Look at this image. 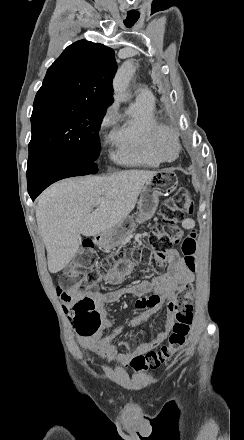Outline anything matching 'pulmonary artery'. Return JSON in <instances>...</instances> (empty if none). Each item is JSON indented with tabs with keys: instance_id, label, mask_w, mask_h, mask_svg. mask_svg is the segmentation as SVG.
<instances>
[{
	"instance_id": "e3ab8cb5",
	"label": "pulmonary artery",
	"mask_w": 244,
	"mask_h": 440,
	"mask_svg": "<svg viewBox=\"0 0 244 440\" xmlns=\"http://www.w3.org/2000/svg\"><path fill=\"white\" fill-rule=\"evenodd\" d=\"M155 96L152 90H139L137 94L138 102H154Z\"/></svg>"
}]
</instances>
